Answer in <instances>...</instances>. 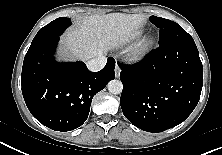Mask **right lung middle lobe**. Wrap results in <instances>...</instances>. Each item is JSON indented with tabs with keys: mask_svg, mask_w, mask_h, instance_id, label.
I'll use <instances>...</instances> for the list:
<instances>
[{
	"mask_svg": "<svg viewBox=\"0 0 222 155\" xmlns=\"http://www.w3.org/2000/svg\"><path fill=\"white\" fill-rule=\"evenodd\" d=\"M71 25L70 18L60 17L42 27L34 37L29 50H32L44 41L60 36Z\"/></svg>",
	"mask_w": 222,
	"mask_h": 155,
	"instance_id": "1",
	"label": "right lung middle lobe"
}]
</instances>
